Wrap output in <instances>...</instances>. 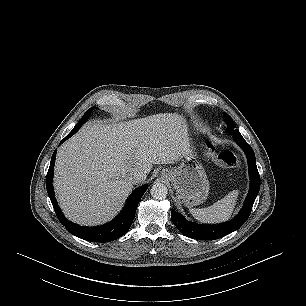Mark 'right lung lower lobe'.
I'll return each mask as SVG.
<instances>
[{"label": "right lung lower lobe", "mask_w": 306, "mask_h": 306, "mask_svg": "<svg viewBox=\"0 0 306 306\" xmlns=\"http://www.w3.org/2000/svg\"><path fill=\"white\" fill-rule=\"evenodd\" d=\"M76 133V132H75ZM74 133H69L61 142L63 143L66 139L70 138ZM56 159V150L54 151L49 170L46 176V188L49 195V198L52 202L53 208L55 210L56 216L58 217L59 221L65 228L73 235L84 239L86 241L91 242H109L120 238L124 235L133 222L135 217L137 205L147 190V185H143L140 188H137L133 191V193L128 198L124 208L122 209L121 213L111 222L95 226V227H84L77 225L71 221H68L58 206V203L55 199V194L53 190V173H54V165Z\"/></svg>", "instance_id": "right-lung-lower-lobe-1"}]
</instances>
